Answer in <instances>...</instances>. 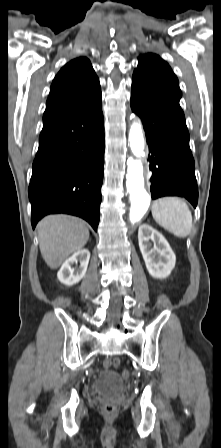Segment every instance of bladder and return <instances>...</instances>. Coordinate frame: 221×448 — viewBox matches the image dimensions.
I'll return each mask as SVG.
<instances>
[{
	"label": "bladder",
	"instance_id": "31cf9c89",
	"mask_svg": "<svg viewBox=\"0 0 221 448\" xmlns=\"http://www.w3.org/2000/svg\"><path fill=\"white\" fill-rule=\"evenodd\" d=\"M123 390V379L113 371L102 372L93 387L94 393L104 398H116Z\"/></svg>",
	"mask_w": 221,
	"mask_h": 448
}]
</instances>
